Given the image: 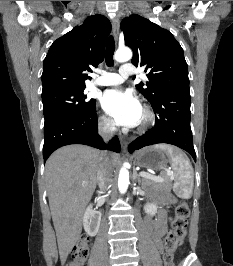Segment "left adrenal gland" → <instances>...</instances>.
Wrapping results in <instances>:
<instances>
[{
    "mask_svg": "<svg viewBox=\"0 0 233 266\" xmlns=\"http://www.w3.org/2000/svg\"><path fill=\"white\" fill-rule=\"evenodd\" d=\"M133 180L137 181L139 184L142 182L140 176L138 175L135 169L133 170Z\"/></svg>",
    "mask_w": 233,
    "mask_h": 266,
    "instance_id": "obj_1",
    "label": "left adrenal gland"
}]
</instances>
